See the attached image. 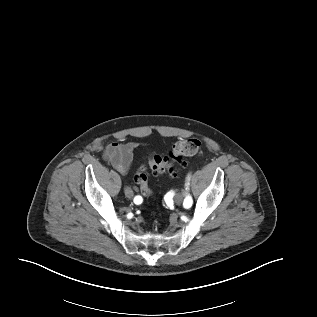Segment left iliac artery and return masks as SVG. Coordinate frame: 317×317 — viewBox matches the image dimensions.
<instances>
[{
    "label": "left iliac artery",
    "instance_id": "obj_1",
    "mask_svg": "<svg viewBox=\"0 0 317 317\" xmlns=\"http://www.w3.org/2000/svg\"><path fill=\"white\" fill-rule=\"evenodd\" d=\"M189 180H190V176L187 177V183H186V190H189ZM186 198L184 199V207L189 208L192 205V197L190 196V194H188V192L186 193Z\"/></svg>",
    "mask_w": 317,
    "mask_h": 317
}]
</instances>
